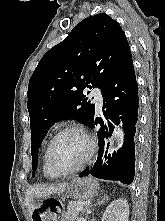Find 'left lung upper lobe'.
I'll return each instance as SVG.
<instances>
[{
	"label": "left lung upper lobe",
	"mask_w": 165,
	"mask_h": 221,
	"mask_svg": "<svg viewBox=\"0 0 165 221\" xmlns=\"http://www.w3.org/2000/svg\"><path fill=\"white\" fill-rule=\"evenodd\" d=\"M130 55L125 33L105 13L84 19L45 53L29 80L27 93L33 171L49 128L65 119L89 125L95 106L83 91L102 90Z\"/></svg>",
	"instance_id": "left-lung-upper-lobe-1"
}]
</instances>
